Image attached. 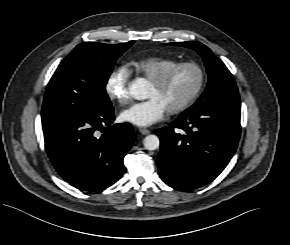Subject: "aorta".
<instances>
[{
  "mask_svg": "<svg viewBox=\"0 0 290 245\" xmlns=\"http://www.w3.org/2000/svg\"><path fill=\"white\" fill-rule=\"evenodd\" d=\"M130 94L137 100L146 99L148 96V83L143 78H138L131 82L129 86ZM160 140L156 135H148L144 139V147L153 151L159 148Z\"/></svg>",
  "mask_w": 290,
  "mask_h": 245,
  "instance_id": "obj_1",
  "label": "aorta"
}]
</instances>
